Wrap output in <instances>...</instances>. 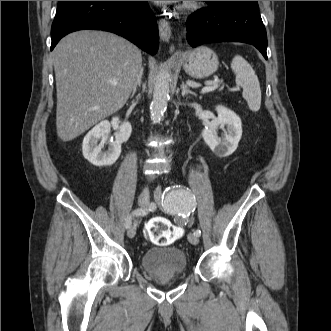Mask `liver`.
I'll return each mask as SVG.
<instances>
[{
	"label": "liver",
	"instance_id": "6515ba94",
	"mask_svg": "<svg viewBox=\"0 0 331 331\" xmlns=\"http://www.w3.org/2000/svg\"><path fill=\"white\" fill-rule=\"evenodd\" d=\"M58 137L71 141L127 102L141 71V51L114 34L81 30L52 52ZM112 81L117 85L113 86Z\"/></svg>",
	"mask_w": 331,
	"mask_h": 331
}]
</instances>
